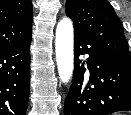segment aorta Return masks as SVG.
Segmentation results:
<instances>
[{
	"label": "aorta",
	"instance_id": "obj_1",
	"mask_svg": "<svg viewBox=\"0 0 131 115\" xmlns=\"http://www.w3.org/2000/svg\"><path fill=\"white\" fill-rule=\"evenodd\" d=\"M73 24L63 18L56 27L55 51L58 73L63 83L69 82L74 69Z\"/></svg>",
	"mask_w": 131,
	"mask_h": 115
}]
</instances>
